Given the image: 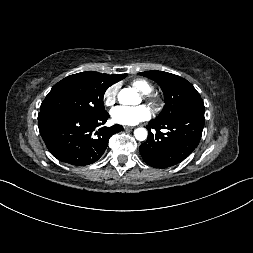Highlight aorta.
I'll list each match as a JSON object with an SVG mask.
<instances>
[{
  "label": "aorta",
  "mask_w": 253,
  "mask_h": 253,
  "mask_svg": "<svg viewBox=\"0 0 253 253\" xmlns=\"http://www.w3.org/2000/svg\"><path fill=\"white\" fill-rule=\"evenodd\" d=\"M118 101L123 105H137L140 103L141 98L136 90L132 88H124L118 94ZM147 135L148 133L145 128H137L134 131V136L139 141H144L147 138Z\"/></svg>",
  "instance_id": "aorta-1"
}]
</instances>
